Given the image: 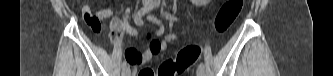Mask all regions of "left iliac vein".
Wrapping results in <instances>:
<instances>
[{
  "label": "left iliac vein",
  "mask_w": 333,
  "mask_h": 76,
  "mask_svg": "<svg viewBox=\"0 0 333 76\" xmlns=\"http://www.w3.org/2000/svg\"><path fill=\"white\" fill-rule=\"evenodd\" d=\"M197 76H205L204 69L198 68V70H197Z\"/></svg>",
  "instance_id": "4c4485c4"
}]
</instances>
